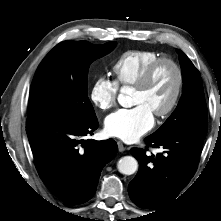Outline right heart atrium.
<instances>
[{"instance_id": "obj_1", "label": "right heart atrium", "mask_w": 221, "mask_h": 221, "mask_svg": "<svg viewBox=\"0 0 221 221\" xmlns=\"http://www.w3.org/2000/svg\"><path fill=\"white\" fill-rule=\"evenodd\" d=\"M118 86L105 76L98 77L90 88L91 103L100 111H107L116 104Z\"/></svg>"}]
</instances>
